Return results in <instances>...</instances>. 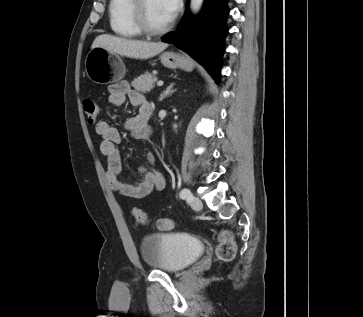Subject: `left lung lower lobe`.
Listing matches in <instances>:
<instances>
[{"instance_id": "left-lung-lower-lobe-1", "label": "left lung lower lobe", "mask_w": 363, "mask_h": 317, "mask_svg": "<svg viewBox=\"0 0 363 317\" xmlns=\"http://www.w3.org/2000/svg\"><path fill=\"white\" fill-rule=\"evenodd\" d=\"M227 0H206L203 13L185 14L177 30L162 38L187 52L219 82L223 42L226 36Z\"/></svg>"}]
</instances>
